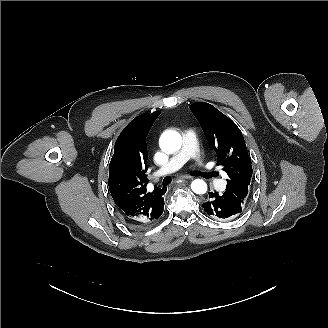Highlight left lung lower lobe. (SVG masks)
<instances>
[{"instance_id": "1", "label": "left lung lower lobe", "mask_w": 328, "mask_h": 328, "mask_svg": "<svg viewBox=\"0 0 328 328\" xmlns=\"http://www.w3.org/2000/svg\"><path fill=\"white\" fill-rule=\"evenodd\" d=\"M210 199L203 203L204 212L218 220H229L242 212L241 205L217 193H208Z\"/></svg>"}]
</instances>
